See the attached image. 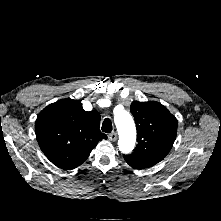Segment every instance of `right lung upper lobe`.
Masks as SVG:
<instances>
[{"label":"right lung upper lobe","mask_w":221,"mask_h":221,"mask_svg":"<svg viewBox=\"0 0 221 221\" xmlns=\"http://www.w3.org/2000/svg\"><path fill=\"white\" fill-rule=\"evenodd\" d=\"M100 114L87 112L80 100L63 99L48 105L35 122L39 146L57 167L70 170L80 166L98 141L101 133Z\"/></svg>","instance_id":"obj_1"}]
</instances>
